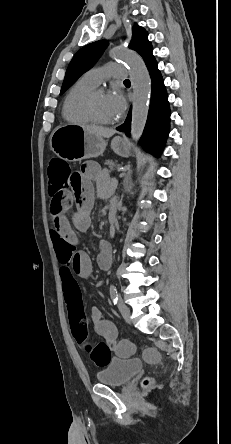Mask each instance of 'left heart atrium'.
Returning <instances> with one entry per match:
<instances>
[{"label": "left heart atrium", "instance_id": "left-heart-atrium-1", "mask_svg": "<svg viewBox=\"0 0 231 444\" xmlns=\"http://www.w3.org/2000/svg\"><path fill=\"white\" fill-rule=\"evenodd\" d=\"M107 100L116 117L124 111L125 99L120 91L115 90L107 94Z\"/></svg>", "mask_w": 231, "mask_h": 444}]
</instances>
